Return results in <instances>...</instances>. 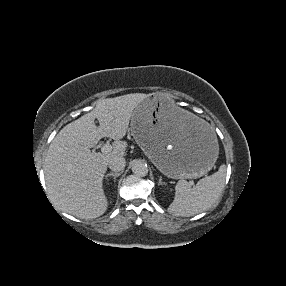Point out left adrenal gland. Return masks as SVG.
<instances>
[{
  "instance_id": "obj_1",
  "label": "left adrenal gland",
  "mask_w": 286,
  "mask_h": 286,
  "mask_svg": "<svg viewBox=\"0 0 286 286\" xmlns=\"http://www.w3.org/2000/svg\"><path fill=\"white\" fill-rule=\"evenodd\" d=\"M165 184L163 181H162V177L159 178V185H163Z\"/></svg>"
}]
</instances>
